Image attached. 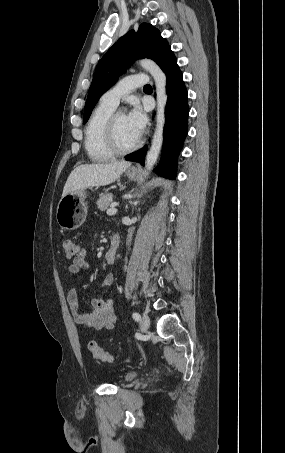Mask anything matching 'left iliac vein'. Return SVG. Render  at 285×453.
<instances>
[{
	"instance_id": "1",
	"label": "left iliac vein",
	"mask_w": 285,
	"mask_h": 453,
	"mask_svg": "<svg viewBox=\"0 0 285 453\" xmlns=\"http://www.w3.org/2000/svg\"><path fill=\"white\" fill-rule=\"evenodd\" d=\"M150 326V318L146 313L142 314V318L140 321V327L143 332L147 331Z\"/></svg>"
}]
</instances>
